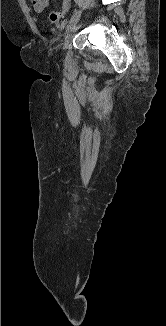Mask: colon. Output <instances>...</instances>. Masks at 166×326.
<instances>
[{"label": "colon", "mask_w": 166, "mask_h": 326, "mask_svg": "<svg viewBox=\"0 0 166 326\" xmlns=\"http://www.w3.org/2000/svg\"><path fill=\"white\" fill-rule=\"evenodd\" d=\"M61 14H62L61 10L52 11V12L49 13V20L52 23H56L59 20Z\"/></svg>", "instance_id": "1"}]
</instances>
